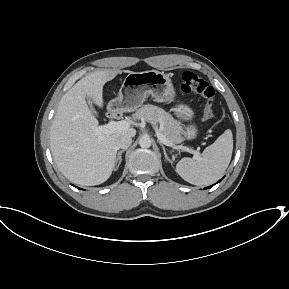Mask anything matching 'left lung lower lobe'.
Listing matches in <instances>:
<instances>
[{"label": "left lung lower lobe", "instance_id": "0a47b994", "mask_svg": "<svg viewBox=\"0 0 289 289\" xmlns=\"http://www.w3.org/2000/svg\"><path fill=\"white\" fill-rule=\"evenodd\" d=\"M220 181H221V180H220ZM220 181H219V182H220ZM210 187H212V186H209V187H207V188H210ZM207 188H206V189H207Z\"/></svg>", "mask_w": 289, "mask_h": 289}]
</instances>
